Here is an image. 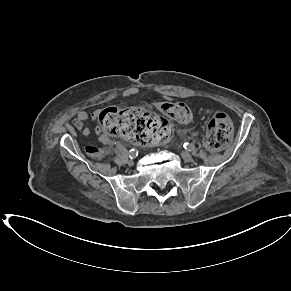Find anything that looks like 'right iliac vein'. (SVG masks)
Listing matches in <instances>:
<instances>
[{"instance_id": "right-iliac-vein-1", "label": "right iliac vein", "mask_w": 291, "mask_h": 291, "mask_svg": "<svg viewBox=\"0 0 291 291\" xmlns=\"http://www.w3.org/2000/svg\"><path fill=\"white\" fill-rule=\"evenodd\" d=\"M133 164H134V161L132 159L128 161L129 166H132Z\"/></svg>"}]
</instances>
